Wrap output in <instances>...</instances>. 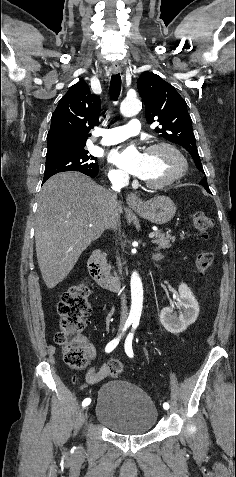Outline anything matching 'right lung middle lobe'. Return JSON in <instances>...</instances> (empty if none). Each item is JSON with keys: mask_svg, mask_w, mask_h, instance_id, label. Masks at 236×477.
Here are the masks:
<instances>
[{"mask_svg": "<svg viewBox=\"0 0 236 477\" xmlns=\"http://www.w3.org/2000/svg\"><path fill=\"white\" fill-rule=\"evenodd\" d=\"M96 158L82 149L74 154L60 157L58 159L46 161L44 177L65 171H78L88 176L95 177L98 174L99 166Z\"/></svg>", "mask_w": 236, "mask_h": 477, "instance_id": "dd1d6c3e", "label": "right lung middle lobe"}]
</instances>
